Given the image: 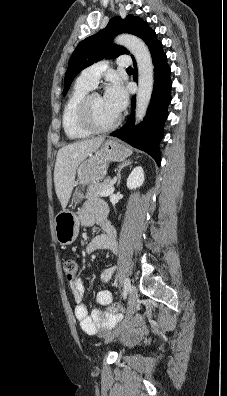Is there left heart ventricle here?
Wrapping results in <instances>:
<instances>
[{"instance_id": "obj_1", "label": "left heart ventricle", "mask_w": 227, "mask_h": 396, "mask_svg": "<svg viewBox=\"0 0 227 396\" xmlns=\"http://www.w3.org/2000/svg\"><path fill=\"white\" fill-rule=\"evenodd\" d=\"M91 108L96 122L100 125H107L114 121L118 116L107 107L100 94L93 97Z\"/></svg>"}]
</instances>
